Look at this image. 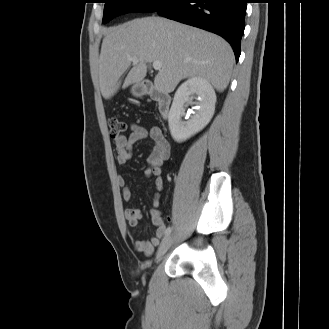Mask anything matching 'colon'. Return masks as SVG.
I'll return each instance as SVG.
<instances>
[{"mask_svg":"<svg viewBox=\"0 0 329 329\" xmlns=\"http://www.w3.org/2000/svg\"><path fill=\"white\" fill-rule=\"evenodd\" d=\"M110 136L113 139L122 137L126 132V124L116 117H111L108 120Z\"/></svg>","mask_w":329,"mask_h":329,"instance_id":"colon-1","label":"colon"}]
</instances>
